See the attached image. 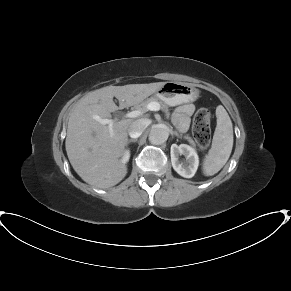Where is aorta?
<instances>
[{
  "mask_svg": "<svg viewBox=\"0 0 291 291\" xmlns=\"http://www.w3.org/2000/svg\"><path fill=\"white\" fill-rule=\"evenodd\" d=\"M169 137V128L164 124L155 125L149 133V141L154 145H161Z\"/></svg>",
  "mask_w": 291,
  "mask_h": 291,
  "instance_id": "obj_1",
  "label": "aorta"
}]
</instances>
